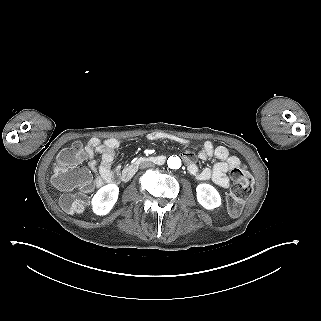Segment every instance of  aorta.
<instances>
[{
  "label": "aorta",
  "mask_w": 321,
  "mask_h": 321,
  "mask_svg": "<svg viewBox=\"0 0 321 321\" xmlns=\"http://www.w3.org/2000/svg\"><path fill=\"white\" fill-rule=\"evenodd\" d=\"M167 164L171 169H178L181 167V159L177 156L176 157L171 156L168 158Z\"/></svg>",
  "instance_id": "1"
}]
</instances>
